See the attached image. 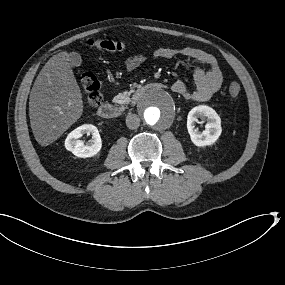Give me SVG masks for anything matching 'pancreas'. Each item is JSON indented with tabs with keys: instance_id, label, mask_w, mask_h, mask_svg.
Masks as SVG:
<instances>
[{
	"instance_id": "pancreas-1",
	"label": "pancreas",
	"mask_w": 285,
	"mask_h": 285,
	"mask_svg": "<svg viewBox=\"0 0 285 285\" xmlns=\"http://www.w3.org/2000/svg\"><path fill=\"white\" fill-rule=\"evenodd\" d=\"M133 94L131 92H128L127 94L125 92H120L116 95V99L114 100V103L118 106H122L121 109H125V105L129 103V101L132 99Z\"/></svg>"
}]
</instances>
